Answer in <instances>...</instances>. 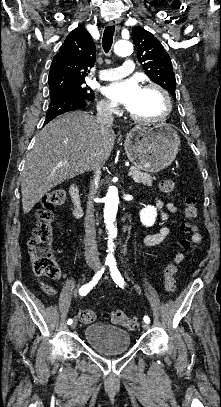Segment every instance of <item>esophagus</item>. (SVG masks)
<instances>
[{"instance_id":"esophagus-1","label":"esophagus","mask_w":221,"mask_h":407,"mask_svg":"<svg viewBox=\"0 0 221 407\" xmlns=\"http://www.w3.org/2000/svg\"><path fill=\"white\" fill-rule=\"evenodd\" d=\"M118 23H119L118 20H112V21L109 22V25H110V26H117Z\"/></svg>"}]
</instances>
